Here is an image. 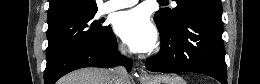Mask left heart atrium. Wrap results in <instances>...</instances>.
<instances>
[{
    "label": "left heart atrium",
    "instance_id": "left-heart-atrium-1",
    "mask_svg": "<svg viewBox=\"0 0 260 84\" xmlns=\"http://www.w3.org/2000/svg\"><path fill=\"white\" fill-rule=\"evenodd\" d=\"M115 30L135 52H149L157 43L156 28L141 7L119 13L115 19Z\"/></svg>",
    "mask_w": 260,
    "mask_h": 84
}]
</instances>
